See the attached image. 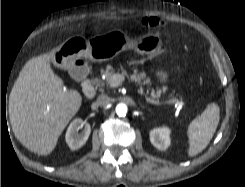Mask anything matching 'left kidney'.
<instances>
[{
	"label": "left kidney",
	"mask_w": 245,
	"mask_h": 187,
	"mask_svg": "<svg viewBox=\"0 0 245 187\" xmlns=\"http://www.w3.org/2000/svg\"><path fill=\"white\" fill-rule=\"evenodd\" d=\"M170 129L166 126L150 132V141L158 150L165 151L170 145Z\"/></svg>",
	"instance_id": "1"
}]
</instances>
